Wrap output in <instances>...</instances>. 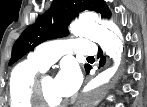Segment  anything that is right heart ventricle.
<instances>
[{"instance_id":"obj_1","label":"right heart ventricle","mask_w":147,"mask_h":107,"mask_svg":"<svg viewBox=\"0 0 147 107\" xmlns=\"http://www.w3.org/2000/svg\"><path fill=\"white\" fill-rule=\"evenodd\" d=\"M45 69L31 59H27L14 67L9 81L11 107H34L30 98L32 84L38 73Z\"/></svg>"}]
</instances>
